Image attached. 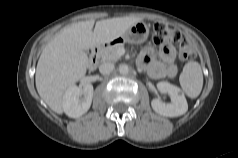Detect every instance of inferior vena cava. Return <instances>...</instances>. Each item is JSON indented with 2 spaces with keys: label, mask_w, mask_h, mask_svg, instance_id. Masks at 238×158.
Returning a JSON list of instances; mask_svg holds the SVG:
<instances>
[{
  "label": "inferior vena cava",
  "mask_w": 238,
  "mask_h": 158,
  "mask_svg": "<svg viewBox=\"0 0 238 158\" xmlns=\"http://www.w3.org/2000/svg\"><path fill=\"white\" fill-rule=\"evenodd\" d=\"M114 69V64L110 62H104L99 66V71L101 74H110Z\"/></svg>",
  "instance_id": "602c4592"
}]
</instances>
